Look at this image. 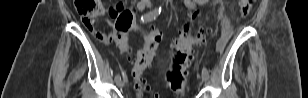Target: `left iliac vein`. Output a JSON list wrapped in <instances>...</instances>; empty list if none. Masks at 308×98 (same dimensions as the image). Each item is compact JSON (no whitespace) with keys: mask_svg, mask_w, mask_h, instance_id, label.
Returning <instances> with one entry per match:
<instances>
[{"mask_svg":"<svg viewBox=\"0 0 308 98\" xmlns=\"http://www.w3.org/2000/svg\"><path fill=\"white\" fill-rule=\"evenodd\" d=\"M207 78H208V77H207L206 75L202 74V81H206Z\"/></svg>","mask_w":308,"mask_h":98,"instance_id":"1","label":"left iliac vein"}]
</instances>
